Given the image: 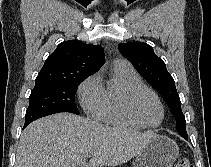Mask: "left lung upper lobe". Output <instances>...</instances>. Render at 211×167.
<instances>
[{
  "instance_id": "obj_1",
  "label": "left lung upper lobe",
  "mask_w": 211,
  "mask_h": 167,
  "mask_svg": "<svg viewBox=\"0 0 211 167\" xmlns=\"http://www.w3.org/2000/svg\"><path fill=\"white\" fill-rule=\"evenodd\" d=\"M121 54L126 57L136 70L160 93L176 118L177 132L187 135L186 121L181 110V102L175 82L161 58L155 55L153 48L146 43L131 42L118 45Z\"/></svg>"
}]
</instances>
